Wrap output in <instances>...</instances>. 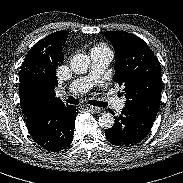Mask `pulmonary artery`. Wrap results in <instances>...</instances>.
<instances>
[{"instance_id": "pulmonary-artery-1", "label": "pulmonary artery", "mask_w": 183, "mask_h": 183, "mask_svg": "<svg viewBox=\"0 0 183 183\" xmlns=\"http://www.w3.org/2000/svg\"><path fill=\"white\" fill-rule=\"evenodd\" d=\"M112 59V53L108 50L93 49L91 52V69L88 75L82 76L74 80L67 87V91L72 94H82L87 92L97 82L101 74L108 67ZM108 104L112 105L116 110H122L125 105L124 99H117L109 96L106 98Z\"/></svg>"}]
</instances>
